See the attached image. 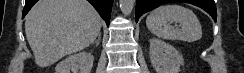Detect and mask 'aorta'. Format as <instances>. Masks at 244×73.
Returning <instances> with one entry per match:
<instances>
[{
    "label": "aorta",
    "instance_id": "obj_1",
    "mask_svg": "<svg viewBox=\"0 0 244 73\" xmlns=\"http://www.w3.org/2000/svg\"><path fill=\"white\" fill-rule=\"evenodd\" d=\"M119 5L124 15H130L134 9L135 0H119Z\"/></svg>",
    "mask_w": 244,
    "mask_h": 73
}]
</instances>
